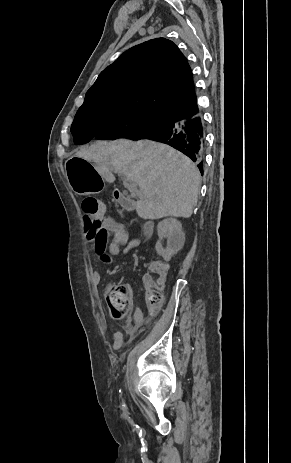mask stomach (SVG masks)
I'll use <instances>...</instances> for the list:
<instances>
[{
    "mask_svg": "<svg viewBox=\"0 0 291 463\" xmlns=\"http://www.w3.org/2000/svg\"><path fill=\"white\" fill-rule=\"evenodd\" d=\"M65 169L75 193L88 195L101 191V176L95 167L89 164V157H66Z\"/></svg>",
    "mask_w": 291,
    "mask_h": 463,
    "instance_id": "0dacf381",
    "label": "stomach"
}]
</instances>
